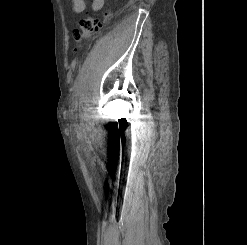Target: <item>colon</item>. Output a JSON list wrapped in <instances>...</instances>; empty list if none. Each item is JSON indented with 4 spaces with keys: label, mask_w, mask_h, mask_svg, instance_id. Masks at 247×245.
Wrapping results in <instances>:
<instances>
[{
    "label": "colon",
    "mask_w": 247,
    "mask_h": 245,
    "mask_svg": "<svg viewBox=\"0 0 247 245\" xmlns=\"http://www.w3.org/2000/svg\"><path fill=\"white\" fill-rule=\"evenodd\" d=\"M110 18V12L104 11L100 15L86 16L79 21L77 28L73 31V39L79 44L84 39H87L96 34L103 24ZM78 50V46L75 47V51Z\"/></svg>",
    "instance_id": "5ec220e1"
}]
</instances>
